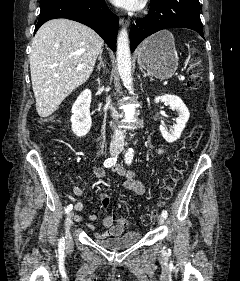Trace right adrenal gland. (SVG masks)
I'll return each mask as SVG.
<instances>
[{"label":"right adrenal gland","mask_w":240,"mask_h":281,"mask_svg":"<svg viewBox=\"0 0 240 281\" xmlns=\"http://www.w3.org/2000/svg\"><path fill=\"white\" fill-rule=\"evenodd\" d=\"M102 52L103 50L100 51L99 53V57H98V60H99V64L97 65V69L100 71L101 68H106V66L104 65V61H103V58H102Z\"/></svg>","instance_id":"obj_1"}]
</instances>
